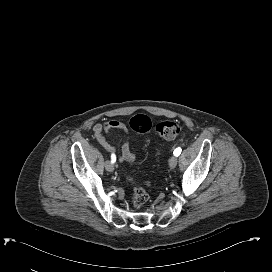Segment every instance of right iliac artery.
I'll return each mask as SVG.
<instances>
[{
    "instance_id": "82829eb1",
    "label": "right iliac artery",
    "mask_w": 272,
    "mask_h": 272,
    "mask_svg": "<svg viewBox=\"0 0 272 272\" xmlns=\"http://www.w3.org/2000/svg\"><path fill=\"white\" fill-rule=\"evenodd\" d=\"M115 161H116V156H115V154H112L111 155V163H115Z\"/></svg>"
}]
</instances>
